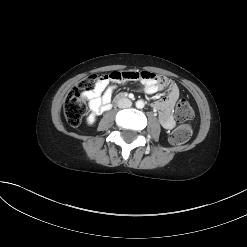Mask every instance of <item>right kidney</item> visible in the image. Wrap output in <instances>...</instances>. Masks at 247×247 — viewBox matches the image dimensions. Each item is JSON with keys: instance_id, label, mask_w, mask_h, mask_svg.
Segmentation results:
<instances>
[{"instance_id": "1", "label": "right kidney", "mask_w": 247, "mask_h": 247, "mask_svg": "<svg viewBox=\"0 0 247 247\" xmlns=\"http://www.w3.org/2000/svg\"><path fill=\"white\" fill-rule=\"evenodd\" d=\"M94 122H95V114L92 113L87 117V123L89 125H92Z\"/></svg>"}]
</instances>
